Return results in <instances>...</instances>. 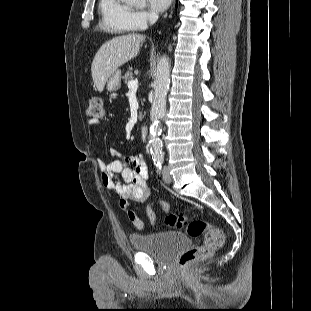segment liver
<instances>
[{"instance_id": "liver-1", "label": "liver", "mask_w": 311, "mask_h": 311, "mask_svg": "<svg viewBox=\"0 0 311 311\" xmlns=\"http://www.w3.org/2000/svg\"><path fill=\"white\" fill-rule=\"evenodd\" d=\"M144 40L141 34H128L115 37L100 47L91 66L93 82L99 92L119 67L138 55Z\"/></svg>"}]
</instances>
